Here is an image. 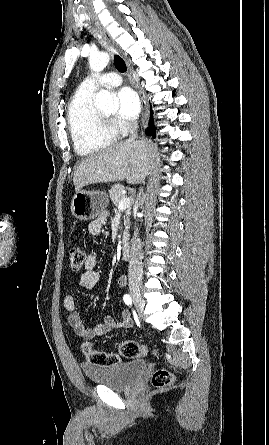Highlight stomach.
Returning <instances> with one entry per match:
<instances>
[{
    "instance_id": "1",
    "label": "stomach",
    "mask_w": 269,
    "mask_h": 445,
    "mask_svg": "<svg viewBox=\"0 0 269 445\" xmlns=\"http://www.w3.org/2000/svg\"><path fill=\"white\" fill-rule=\"evenodd\" d=\"M108 196L105 192L81 190L71 201L72 215L81 221L96 218L108 206Z\"/></svg>"
}]
</instances>
